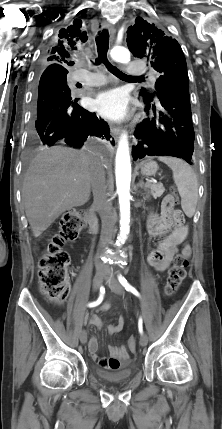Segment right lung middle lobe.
Listing matches in <instances>:
<instances>
[{"label": "right lung middle lobe", "instance_id": "right-lung-middle-lobe-1", "mask_svg": "<svg viewBox=\"0 0 222 429\" xmlns=\"http://www.w3.org/2000/svg\"><path fill=\"white\" fill-rule=\"evenodd\" d=\"M66 75H67V74L59 75V77H58V78H59L62 82L67 83Z\"/></svg>", "mask_w": 222, "mask_h": 429}]
</instances>
